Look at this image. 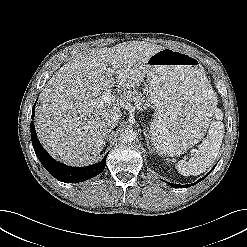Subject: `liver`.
I'll return each instance as SVG.
<instances>
[{"label": "liver", "mask_w": 247, "mask_h": 247, "mask_svg": "<svg viewBox=\"0 0 247 247\" xmlns=\"http://www.w3.org/2000/svg\"><path fill=\"white\" fill-rule=\"evenodd\" d=\"M163 48L144 41L123 42L79 54L63 65L39 96L35 124L40 142L68 163L94 161L106 143V115L121 114L133 98L132 90L146 77L147 61ZM115 84L119 89L110 94L111 101L100 103L101 95Z\"/></svg>", "instance_id": "1"}]
</instances>
